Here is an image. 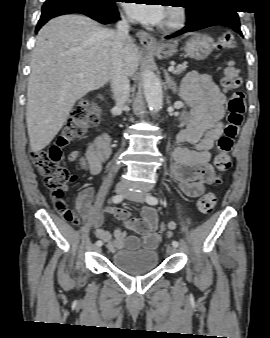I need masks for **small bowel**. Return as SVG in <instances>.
<instances>
[{
    "label": "small bowel",
    "mask_w": 270,
    "mask_h": 338,
    "mask_svg": "<svg viewBox=\"0 0 270 338\" xmlns=\"http://www.w3.org/2000/svg\"><path fill=\"white\" fill-rule=\"evenodd\" d=\"M181 96L192 105V112L176 138L172 173L186 196L199 198L205 192V185L213 178L210 161L215 142L223 133L222 119L226 114V98L208 75L195 71L188 73L184 78ZM183 144L193 145L194 148L184 147ZM110 145V137L102 133L89 143L85 155L70 152L68 159L77 163L79 168L96 175L103 168ZM94 195L95 191L91 186L78 192L73 221L90 223L95 235L107 244L108 249L137 250L141 243L145 248L152 250L161 241V235L157 232L158 216L155 208L146 206L142 209V218L134 220L138 225V228H132L135 235L128 236L120 227L111 234L103 228V221L95 210ZM110 211L123 221L129 218L128 213L122 209L110 208Z\"/></svg>",
    "instance_id": "obj_1"
}]
</instances>
